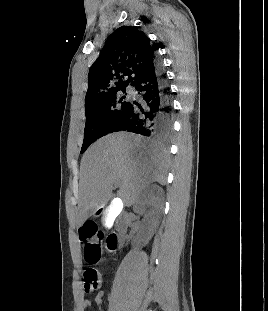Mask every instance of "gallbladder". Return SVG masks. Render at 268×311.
I'll return each instance as SVG.
<instances>
[{
    "mask_svg": "<svg viewBox=\"0 0 268 311\" xmlns=\"http://www.w3.org/2000/svg\"><path fill=\"white\" fill-rule=\"evenodd\" d=\"M124 206V199H111L110 202H106V210L104 215V225L109 226L108 233L112 232V222L116 220V217L121 213V208Z\"/></svg>",
    "mask_w": 268,
    "mask_h": 311,
    "instance_id": "obj_1",
    "label": "gallbladder"
}]
</instances>
